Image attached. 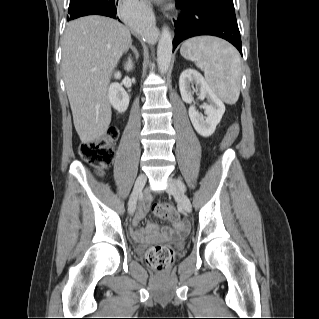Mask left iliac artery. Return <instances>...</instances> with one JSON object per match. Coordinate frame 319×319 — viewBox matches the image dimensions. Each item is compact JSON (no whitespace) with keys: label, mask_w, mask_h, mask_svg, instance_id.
<instances>
[{"label":"left iliac artery","mask_w":319,"mask_h":319,"mask_svg":"<svg viewBox=\"0 0 319 319\" xmlns=\"http://www.w3.org/2000/svg\"><path fill=\"white\" fill-rule=\"evenodd\" d=\"M176 183L183 192L186 191L185 185L180 180H176Z\"/></svg>","instance_id":"left-iliac-artery-1"}]
</instances>
